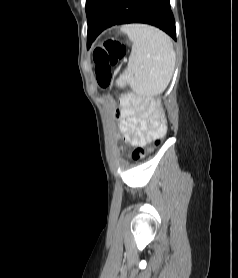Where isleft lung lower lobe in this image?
<instances>
[{"label": "left lung lower lobe", "instance_id": "0a47b994", "mask_svg": "<svg viewBox=\"0 0 238 278\" xmlns=\"http://www.w3.org/2000/svg\"><path fill=\"white\" fill-rule=\"evenodd\" d=\"M134 22L154 25L176 40L169 0H100L88 21L87 47L104 29Z\"/></svg>", "mask_w": 238, "mask_h": 278}]
</instances>
